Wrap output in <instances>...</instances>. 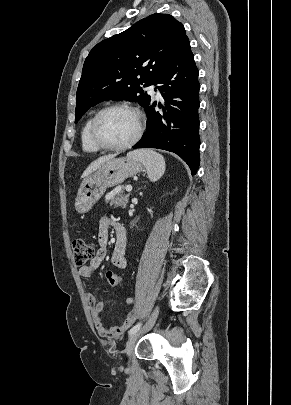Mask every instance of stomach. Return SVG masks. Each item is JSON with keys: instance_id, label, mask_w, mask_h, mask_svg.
Returning a JSON list of instances; mask_svg holds the SVG:
<instances>
[{"instance_id": "stomach-1", "label": "stomach", "mask_w": 291, "mask_h": 405, "mask_svg": "<svg viewBox=\"0 0 291 405\" xmlns=\"http://www.w3.org/2000/svg\"><path fill=\"white\" fill-rule=\"evenodd\" d=\"M142 165L129 157L113 158L106 161L92 175L83 180L75 200V209L79 213L89 211L103 196L107 188L117 186L127 178L142 171Z\"/></svg>"}]
</instances>
